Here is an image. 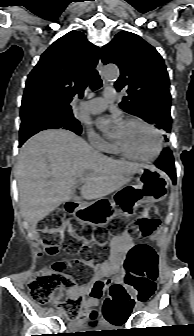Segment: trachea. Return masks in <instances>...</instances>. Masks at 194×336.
I'll use <instances>...</instances> for the list:
<instances>
[{
    "mask_svg": "<svg viewBox=\"0 0 194 336\" xmlns=\"http://www.w3.org/2000/svg\"><path fill=\"white\" fill-rule=\"evenodd\" d=\"M90 86L93 91L98 90L102 87V80L96 70L90 73Z\"/></svg>",
    "mask_w": 194,
    "mask_h": 336,
    "instance_id": "3493384b",
    "label": "trachea"
}]
</instances>
